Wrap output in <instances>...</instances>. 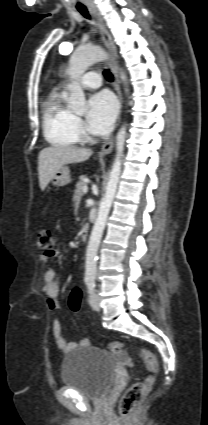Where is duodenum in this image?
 I'll return each instance as SVG.
<instances>
[{
    "instance_id": "410a0bca",
    "label": "duodenum",
    "mask_w": 208,
    "mask_h": 425,
    "mask_svg": "<svg viewBox=\"0 0 208 425\" xmlns=\"http://www.w3.org/2000/svg\"><path fill=\"white\" fill-rule=\"evenodd\" d=\"M80 236H81V239L83 241L87 240V238H88V229H87L86 226H83L81 228V230H80Z\"/></svg>"
}]
</instances>
